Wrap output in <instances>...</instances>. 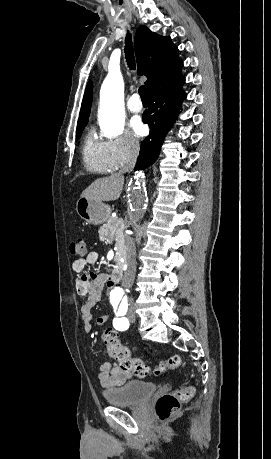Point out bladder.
Masks as SVG:
<instances>
[{
    "label": "bladder",
    "mask_w": 271,
    "mask_h": 459,
    "mask_svg": "<svg viewBox=\"0 0 271 459\" xmlns=\"http://www.w3.org/2000/svg\"><path fill=\"white\" fill-rule=\"evenodd\" d=\"M154 391V382L132 381L125 383L118 391L104 392V396L110 405H141L150 399Z\"/></svg>",
    "instance_id": "obj_1"
}]
</instances>
